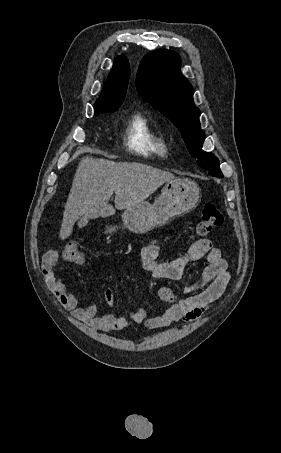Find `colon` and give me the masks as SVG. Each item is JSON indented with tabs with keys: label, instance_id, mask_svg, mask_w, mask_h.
<instances>
[{
	"label": "colon",
	"instance_id": "5ec220e1",
	"mask_svg": "<svg viewBox=\"0 0 281 453\" xmlns=\"http://www.w3.org/2000/svg\"><path fill=\"white\" fill-rule=\"evenodd\" d=\"M224 224V216L214 202L208 201L201 205V217L198 221V234L206 236L213 229ZM63 259L66 261L84 262L86 254L79 247L78 241L74 238L65 240L62 252Z\"/></svg>",
	"mask_w": 281,
	"mask_h": 453
}]
</instances>
